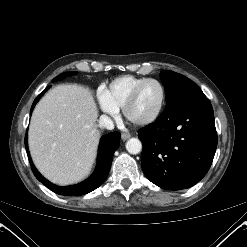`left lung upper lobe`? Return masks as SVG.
Segmentation results:
<instances>
[{"label": "left lung upper lobe", "instance_id": "1", "mask_svg": "<svg viewBox=\"0 0 247 247\" xmlns=\"http://www.w3.org/2000/svg\"><path fill=\"white\" fill-rule=\"evenodd\" d=\"M160 77L165 86L166 106L181 96L202 91L195 82L176 72L161 71Z\"/></svg>", "mask_w": 247, "mask_h": 247}]
</instances>
